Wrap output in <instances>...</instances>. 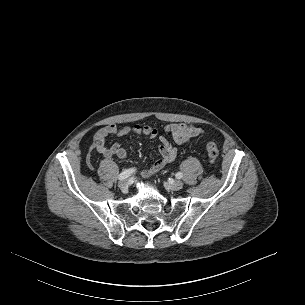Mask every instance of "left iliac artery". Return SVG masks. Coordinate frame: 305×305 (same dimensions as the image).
<instances>
[{
  "label": "left iliac artery",
  "mask_w": 305,
  "mask_h": 305,
  "mask_svg": "<svg viewBox=\"0 0 305 305\" xmlns=\"http://www.w3.org/2000/svg\"><path fill=\"white\" fill-rule=\"evenodd\" d=\"M182 176H183V174H182L181 172H178V173L176 174V178H177V179L182 178Z\"/></svg>",
  "instance_id": "obj_1"
}]
</instances>
